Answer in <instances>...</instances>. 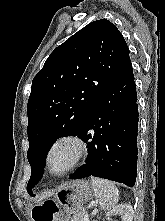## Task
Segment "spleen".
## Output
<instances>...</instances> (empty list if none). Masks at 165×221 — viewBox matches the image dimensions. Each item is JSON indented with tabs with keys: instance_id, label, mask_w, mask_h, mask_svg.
Segmentation results:
<instances>
[{
	"instance_id": "3e777b00",
	"label": "spleen",
	"mask_w": 165,
	"mask_h": 221,
	"mask_svg": "<svg viewBox=\"0 0 165 221\" xmlns=\"http://www.w3.org/2000/svg\"><path fill=\"white\" fill-rule=\"evenodd\" d=\"M91 184L101 209L110 210L117 204L119 200V190L113 182L91 177Z\"/></svg>"
}]
</instances>
